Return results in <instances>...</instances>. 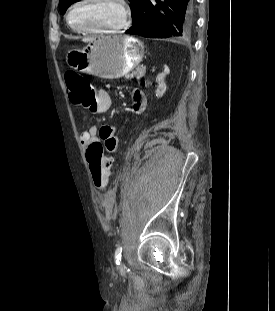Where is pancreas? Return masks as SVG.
<instances>
[{
  "instance_id": "obj_1",
  "label": "pancreas",
  "mask_w": 275,
  "mask_h": 311,
  "mask_svg": "<svg viewBox=\"0 0 275 311\" xmlns=\"http://www.w3.org/2000/svg\"><path fill=\"white\" fill-rule=\"evenodd\" d=\"M145 74V68L144 67H138L136 69V71L132 72L130 75H127L126 78H133V77H137L140 78L142 76H144Z\"/></svg>"
}]
</instances>
